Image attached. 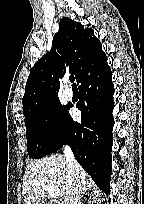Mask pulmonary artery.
Here are the masks:
<instances>
[{
    "mask_svg": "<svg viewBox=\"0 0 144 204\" xmlns=\"http://www.w3.org/2000/svg\"><path fill=\"white\" fill-rule=\"evenodd\" d=\"M64 96L66 97V99L71 100L73 97V92L70 88H66L64 91Z\"/></svg>",
    "mask_w": 144,
    "mask_h": 204,
    "instance_id": "1",
    "label": "pulmonary artery"
}]
</instances>
